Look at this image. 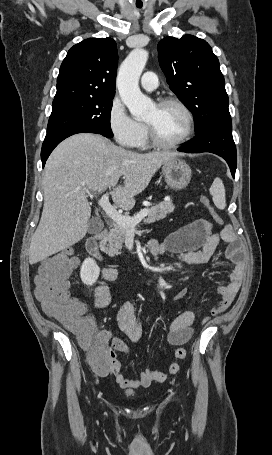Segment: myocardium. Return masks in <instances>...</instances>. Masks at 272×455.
Here are the masks:
<instances>
[{
	"label": "myocardium",
	"instance_id": "myocardium-1",
	"mask_svg": "<svg viewBox=\"0 0 272 455\" xmlns=\"http://www.w3.org/2000/svg\"><path fill=\"white\" fill-rule=\"evenodd\" d=\"M168 105L177 106L178 108H180L182 110V112L184 113V115L186 117L187 127H186V131H185L184 135L179 140H177L175 142H171V143H166V142L161 141L157 137L153 127L149 123L145 122V127L147 130V136H148L149 142L154 147H157L160 149H175V148L182 146L192 137V135L194 133V129H195V120H194L193 113L191 112V110L185 103H183L181 100H179L177 98H173V97L162 98L156 103L157 107H164V106H168Z\"/></svg>",
	"mask_w": 272,
	"mask_h": 455
}]
</instances>
